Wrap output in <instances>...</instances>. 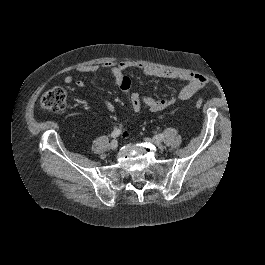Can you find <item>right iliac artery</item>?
Masks as SVG:
<instances>
[{"label": "right iliac artery", "mask_w": 265, "mask_h": 265, "mask_svg": "<svg viewBox=\"0 0 265 265\" xmlns=\"http://www.w3.org/2000/svg\"><path fill=\"white\" fill-rule=\"evenodd\" d=\"M122 133V131L120 129H114L111 133V137L112 138H116L118 137L120 134Z\"/></svg>", "instance_id": "82829eb1"}]
</instances>
